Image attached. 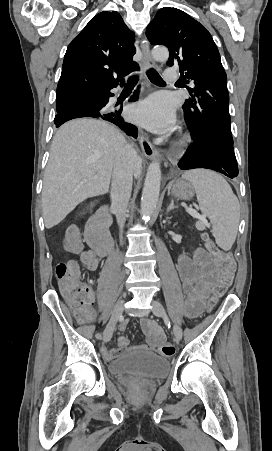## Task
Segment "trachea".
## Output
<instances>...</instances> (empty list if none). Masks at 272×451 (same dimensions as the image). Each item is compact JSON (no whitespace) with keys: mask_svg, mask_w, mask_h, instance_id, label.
I'll return each instance as SVG.
<instances>
[{"mask_svg":"<svg viewBox=\"0 0 272 451\" xmlns=\"http://www.w3.org/2000/svg\"><path fill=\"white\" fill-rule=\"evenodd\" d=\"M147 75L152 83L165 84L163 79L160 77L159 73H157L156 70H154L153 68H150L147 71ZM137 81H138L137 76L129 77L127 85H136Z\"/></svg>","mask_w":272,"mask_h":451,"instance_id":"3493384b","label":"trachea"}]
</instances>
